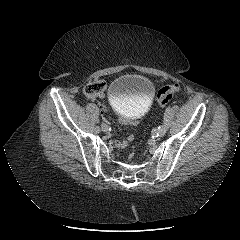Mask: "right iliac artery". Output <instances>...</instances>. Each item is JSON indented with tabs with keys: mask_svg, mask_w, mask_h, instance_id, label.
Returning <instances> with one entry per match:
<instances>
[{
	"mask_svg": "<svg viewBox=\"0 0 240 240\" xmlns=\"http://www.w3.org/2000/svg\"><path fill=\"white\" fill-rule=\"evenodd\" d=\"M94 130H95L96 133H99L100 130H101V127H100L99 125H96V126L94 127Z\"/></svg>",
	"mask_w": 240,
	"mask_h": 240,
	"instance_id": "82829eb1",
	"label": "right iliac artery"
}]
</instances>
